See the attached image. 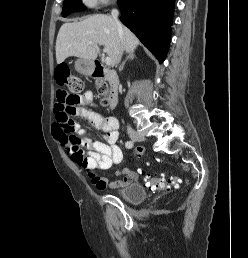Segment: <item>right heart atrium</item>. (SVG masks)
<instances>
[{
    "label": "right heart atrium",
    "mask_w": 248,
    "mask_h": 258,
    "mask_svg": "<svg viewBox=\"0 0 248 258\" xmlns=\"http://www.w3.org/2000/svg\"><path fill=\"white\" fill-rule=\"evenodd\" d=\"M111 0H82L83 4L88 7H96L102 4H106Z\"/></svg>",
    "instance_id": "right-heart-atrium-1"
}]
</instances>
